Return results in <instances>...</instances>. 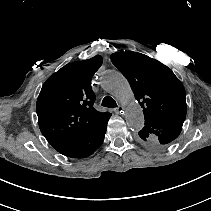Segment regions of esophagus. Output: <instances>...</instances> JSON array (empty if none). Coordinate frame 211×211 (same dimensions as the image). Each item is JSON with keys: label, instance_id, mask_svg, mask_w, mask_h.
<instances>
[{"label": "esophagus", "instance_id": "esophagus-1", "mask_svg": "<svg viewBox=\"0 0 211 211\" xmlns=\"http://www.w3.org/2000/svg\"><path fill=\"white\" fill-rule=\"evenodd\" d=\"M123 111H124V108H123L122 106H119V107H117V108L114 109V112H115L116 114H120V113H122Z\"/></svg>", "mask_w": 211, "mask_h": 211}]
</instances>
